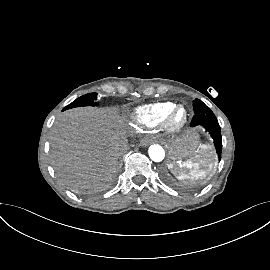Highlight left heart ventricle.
I'll use <instances>...</instances> for the list:
<instances>
[{"instance_id": "left-heart-ventricle-1", "label": "left heart ventricle", "mask_w": 270, "mask_h": 270, "mask_svg": "<svg viewBox=\"0 0 270 270\" xmlns=\"http://www.w3.org/2000/svg\"><path fill=\"white\" fill-rule=\"evenodd\" d=\"M183 114L184 113H183L182 110L177 113V115H176V121L177 122L180 121L183 118Z\"/></svg>"}]
</instances>
